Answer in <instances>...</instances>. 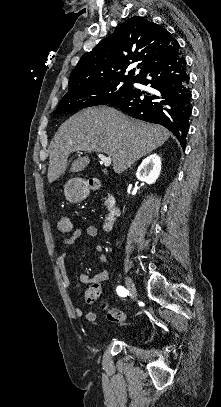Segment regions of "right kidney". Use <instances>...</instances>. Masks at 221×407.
Here are the masks:
<instances>
[{
  "instance_id": "right-kidney-1",
  "label": "right kidney",
  "mask_w": 221,
  "mask_h": 407,
  "mask_svg": "<svg viewBox=\"0 0 221 407\" xmlns=\"http://www.w3.org/2000/svg\"><path fill=\"white\" fill-rule=\"evenodd\" d=\"M161 171V158L157 154L149 155L145 158L137 169L138 180L153 184L157 180Z\"/></svg>"
}]
</instances>
